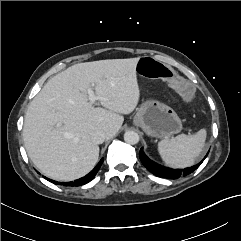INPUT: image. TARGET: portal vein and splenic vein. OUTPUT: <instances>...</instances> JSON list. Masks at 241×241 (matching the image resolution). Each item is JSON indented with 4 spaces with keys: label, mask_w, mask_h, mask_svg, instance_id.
Instances as JSON below:
<instances>
[{
    "label": "portal vein and splenic vein",
    "mask_w": 241,
    "mask_h": 241,
    "mask_svg": "<svg viewBox=\"0 0 241 241\" xmlns=\"http://www.w3.org/2000/svg\"><path fill=\"white\" fill-rule=\"evenodd\" d=\"M93 86V85H92ZM92 86L87 89L88 99L91 103H94L98 97L95 95V93L92 90Z\"/></svg>",
    "instance_id": "portal-vein-and-splenic-vein-1"
}]
</instances>
